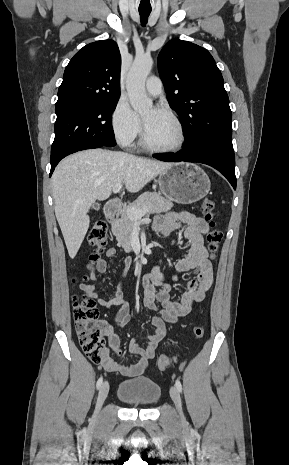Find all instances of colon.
I'll return each instance as SVG.
<instances>
[{
	"instance_id": "1",
	"label": "colon",
	"mask_w": 289,
	"mask_h": 465,
	"mask_svg": "<svg viewBox=\"0 0 289 465\" xmlns=\"http://www.w3.org/2000/svg\"><path fill=\"white\" fill-rule=\"evenodd\" d=\"M202 212L210 226L207 234V244L210 256L213 259L218 252L223 235L216 228L214 202L212 199L206 198L202 202ZM107 236L108 230L105 222L102 220L96 221L88 234V242L95 249L90 258L92 262H96L99 259V254L107 243ZM73 315L76 333L83 351L91 361L98 363L102 359L106 348L103 328L98 321L99 312L95 302L86 295L81 297L75 296L73 299ZM193 333L196 338H201L204 335V329L201 326H195ZM172 363L173 358L167 355H162L158 360L159 368L162 370L169 368Z\"/></svg>"
}]
</instances>
